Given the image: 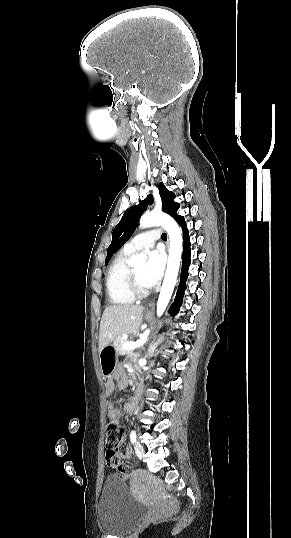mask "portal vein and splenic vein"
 <instances>
[{
    "instance_id": "1",
    "label": "portal vein and splenic vein",
    "mask_w": 291,
    "mask_h": 538,
    "mask_svg": "<svg viewBox=\"0 0 291 538\" xmlns=\"http://www.w3.org/2000/svg\"><path fill=\"white\" fill-rule=\"evenodd\" d=\"M149 333H150V330H146L143 333V335L140 336L139 339H137L136 341H127V342H125L123 344V349L129 350V349H134V348L142 346L143 344H145Z\"/></svg>"
}]
</instances>
